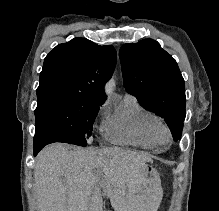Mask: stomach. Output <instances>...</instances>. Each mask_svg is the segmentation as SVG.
<instances>
[{
    "label": "stomach",
    "mask_w": 219,
    "mask_h": 211,
    "mask_svg": "<svg viewBox=\"0 0 219 211\" xmlns=\"http://www.w3.org/2000/svg\"><path fill=\"white\" fill-rule=\"evenodd\" d=\"M145 171H146V176H153L156 174V169L152 164H146Z\"/></svg>",
    "instance_id": "1"
}]
</instances>
